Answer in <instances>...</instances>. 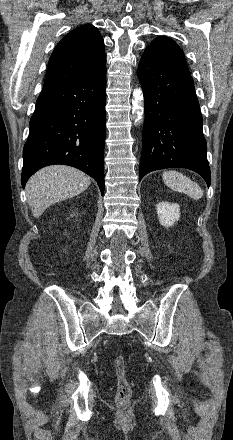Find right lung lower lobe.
I'll list each match as a JSON object with an SVG mask.
<instances>
[{
    "mask_svg": "<svg viewBox=\"0 0 233 440\" xmlns=\"http://www.w3.org/2000/svg\"><path fill=\"white\" fill-rule=\"evenodd\" d=\"M106 69L75 83L43 88L23 150V188L38 169L52 164L78 168L104 192Z\"/></svg>",
    "mask_w": 233,
    "mask_h": 440,
    "instance_id": "1",
    "label": "right lung lower lobe"
}]
</instances>
